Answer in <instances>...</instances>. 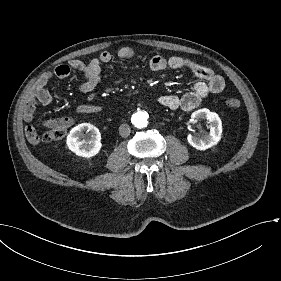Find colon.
Wrapping results in <instances>:
<instances>
[{
	"mask_svg": "<svg viewBox=\"0 0 281 281\" xmlns=\"http://www.w3.org/2000/svg\"><path fill=\"white\" fill-rule=\"evenodd\" d=\"M226 103L231 108H238L240 106V100L236 97L227 98ZM68 127L69 121L66 119L52 123L51 127L45 132V142L62 139Z\"/></svg>",
	"mask_w": 281,
	"mask_h": 281,
	"instance_id": "1",
	"label": "colon"
}]
</instances>
